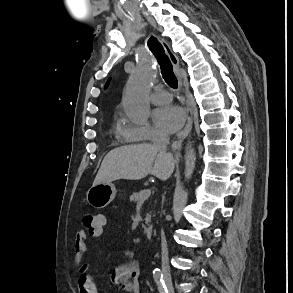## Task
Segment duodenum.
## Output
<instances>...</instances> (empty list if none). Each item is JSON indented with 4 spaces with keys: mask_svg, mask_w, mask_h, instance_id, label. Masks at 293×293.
<instances>
[{
    "mask_svg": "<svg viewBox=\"0 0 293 293\" xmlns=\"http://www.w3.org/2000/svg\"><path fill=\"white\" fill-rule=\"evenodd\" d=\"M146 234L149 238L153 237V228L151 226H147L146 228Z\"/></svg>",
    "mask_w": 293,
    "mask_h": 293,
    "instance_id": "obj_1",
    "label": "duodenum"
}]
</instances>
